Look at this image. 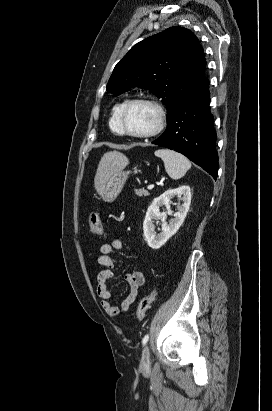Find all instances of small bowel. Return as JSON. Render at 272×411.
<instances>
[{
	"label": "small bowel",
	"mask_w": 272,
	"mask_h": 411,
	"mask_svg": "<svg viewBox=\"0 0 272 411\" xmlns=\"http://www.w3.org/2000/svg\"><path fill=\"white\" fill-rule=\"evenodd\" d=\"M125 244L120 239H115L111 243L101 244L98 257V263L104 267V269L98 274V287L97 293L101 299V306L103 310L110 316L116 317L120 311L126 313L130 310L131 306L136 301L140 289L146 282L144 273L139 269H132L126 274V281L129 284L130 291L128 296L122 301L121 308L114 306L110 303L111 290L109 288V282L113 277V268L116 264V259L113 256L115 250H122Z\"/></svg>",
	"instance_id": "1"
}]
</instances>
